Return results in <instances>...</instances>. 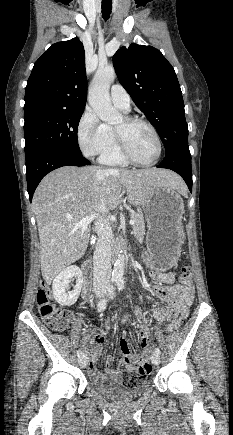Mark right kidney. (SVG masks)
Instances as JSON below:
<instances>
[{
  "label": "right kidney",
  "mask_w": 233,
  "mask_h": 435,
  "mask_svg": "<svg viewBox=\"0 0 233 435\" xmlns=\"http://www.w3.org/2000/svg\"><path fill=\"white\" fill-rule=\"evenodd\" d=\"M75 277L76 285L72 291H68L70 280ZM83 274L77 266H70L61 271L53 280L52 289L56 302L62 306L73 305L81 292Z\"/></svg>",
  "instance_id": "right-kidney-1"
}]
</instances>
